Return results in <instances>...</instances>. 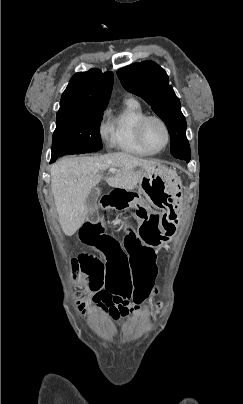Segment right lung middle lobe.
<instances>
[{"mask_svg":"<svg viewBox=\"0 0 243 404\" xmlns=\"http://www.w3.org/2000/svg\"><path fill=\"white\" fill-rule=\"evenodd\" d=\"M105 109L59 110L53 133L51 163L63 155L101 150L99 126Z\"/></svg>","mask_w":243,"mask_h":404,"instance_id":"1","label":"right lung middle lobe"}]
</instances>
